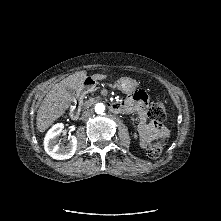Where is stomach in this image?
I'll list each match as a JSON object with an SVG mask.
<instances>
[{"instance_id": "1", "label": "stomach", "mask_w": 221, "mask_h": 221, "mask_svg": "<svg viewBox=\"0 0 221 221\" xmlns=\"http://www.w3.org/2000/svg\"><path fill=\"white\" fill-rule=\"evenodd\" d=\"M116 86L124 93L132 94L137 88L138 83L132 78L124 77L117 82Z\"/></svg>"}]
</instances>
